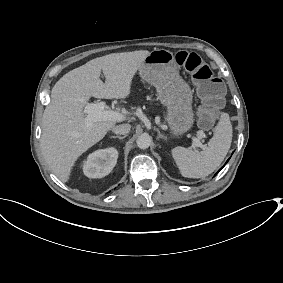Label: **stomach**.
Returning a JSON list of instances; mask_svg holds the SVG:
<instances>
[{
	"mask_svg": "<svg viewBox=\"0 0 283 283\" xmlns=\"http://www.w3.org/2000/svg\"><path fill=\"white\" fill-rule=\"evenodd\" d=\"M140 76L155 87L158 100L166 107L169 135L175 139L183 137L195 123L193 91L181 77L173 53L166 49L150 52Z\"/></svg>",
	"mask_w": 283,
	"mask_h": 283,
	"instance_id": "0dacf381",
	"label": "stomach"
}]
</instances>
